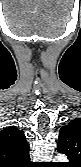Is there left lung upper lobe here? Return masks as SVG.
Masks as SVG:
<instances>
[{
  "label": "left lung upper lobe",
  "mask_w": 81,
  "mask_h": 167,
  "mask_svg": "<svg viewBox=\"0 0 81 167\" xmlns=\"http://www.w3.org/2000/svg\"><path fill=\"white\" fill-rule=\"evenodd\" d=\"M57 151L65 154L69 167H80L81 161V119L76 118L62 126L58 138Z\"/></svg>",
  "instance_id": "1"
}]
</instances>
